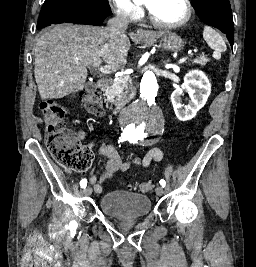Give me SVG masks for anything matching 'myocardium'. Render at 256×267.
Listing matches in <instances>:
<instances>
[{"instance_id":"1","label":"myocardium","mask_w":256,"mask_h":267,"mask_svg":"<svg viewBox=\"0 0 256 267\" xmlns=\"http://www.w3.org/2000/svg\"><path fill=\"white\" fill-rule=\"evenodd\" d=\"M169 1L179 4L184 9V12H185L184 17L181 20L169 23L165 26H161L162 28H165L166 30H173V29H176V28H179L185 25L190 20L191 15H192V9L187 0H169Z\"/></svg>"}]
</instances>
